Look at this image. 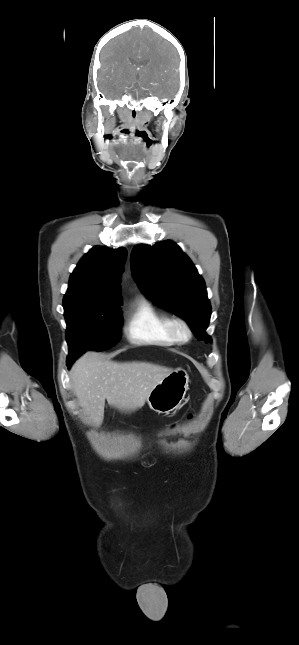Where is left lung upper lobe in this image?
Here are the masks:
<instances>
[{"instance_id": "obj_1", "label": "left lung upper lobe", "mask_w": 299, "mask_h": 645, "mask_svg": "<svg viewBox=\"0 0 299 645\" xmlns=\"http://www.w3.org/2000/svg\"><path fill=\"white\" fill-rule=\"evenodd\" d=\"M132 272L147 297L187 321L199 340L211 342V306L204 280L189 257L172 241L137 245L131 253Z\"/></svg>"}]
</instances>
